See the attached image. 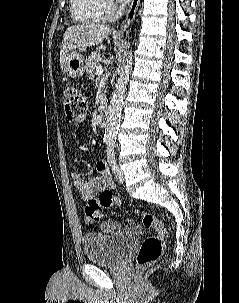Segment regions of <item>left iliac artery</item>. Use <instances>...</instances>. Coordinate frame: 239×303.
Here are the masks:
<instances>
[{
	"instance_id": "1",
	"label": "left iliac artery",
	"mask_w": 239,
	"mask_h": 303,
	"mask_svg": "<svg viewBox=\"0 0 239 303\" xmlns=\"http://www.w3.org/2000/svg\"><path fill=\"white\" fill-rule=\"evenodd\" d=\"M114 147V143H109L107 147V159L113 171L117 168Z\"/></svg>"
}]
</instances>
